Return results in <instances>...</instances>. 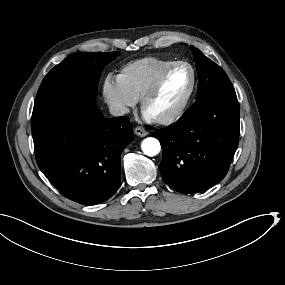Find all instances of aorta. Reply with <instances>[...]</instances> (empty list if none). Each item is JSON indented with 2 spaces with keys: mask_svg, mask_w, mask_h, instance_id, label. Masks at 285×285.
I'll return each instance as SVG.
<instances>
[{
  "mask_svg": "<svg viewBox=\"0 0 285 285\" xmlns=\"http://www.w3.org/2000/svg\"><path fill=\"white\" fill-rule=\"evenodd\" d=\"M160 150H161L160 143L155 138H146L142 142V151L147 156L154 157L159 154Z\"/></svg>",
  "mask_w": 285,
  "mask_h": 285,
  "instance_id": "762f6f07",
  "label": "aorta"
}]
</instances>
